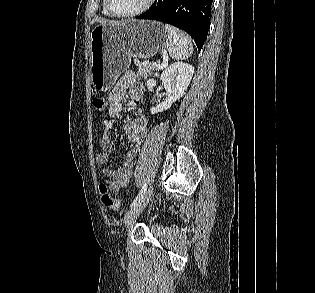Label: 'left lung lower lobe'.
Segmentation results:
<instances>
[{"label": "left lung lower lobe", "mask_w": 315, "mask_h": 293, "mask_svg": "<svg viewBox=\"0 0 315 293\" xmlns=\"http://www.w3.org/2000/svg\"><path fill=\"white\" fill-rule=\"evenodd\" d=\"M211 3L212 0H156L136 18L172 24L186 31L201 50L208 34Z\"/></svg>", "instance_id": "left-lung-lower-lobe-1"}]
</instances>
